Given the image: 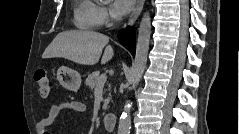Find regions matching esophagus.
Returning a JSON list of instances; mask_svg holds the SVG:
<instances>
[{
  "label": "esophagus",
  "mask_w": 239,
  "mask_h": 134,
  "mask_svg": "<svg viewBox=\"0 0 239 134\" xmlns=\"http://www.w3.org/2000/svg\"><path fill=\"white\" fill-rule=\"evenodd\" d=\"M144 2H145V0H137L136 5L130 15L129 20H128V25H133L136 22L137 18L139 17V15L143 9Z\"/></svg>",
  "instance_id": "1"
}]
</instances>
